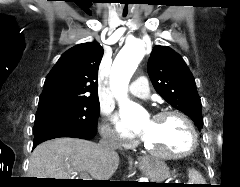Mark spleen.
Masks as SVG:
<instances>
[{"label":"spleen","instance_id":"spleen-1","mask_svg":"<svg viewBox=\"0 0 240 187\" xmlns=\"http://www.w3.org/2000/svg\"><path fill=\"white\" fill-rule=\"evenodd\" d=\"M189 181L191 184H205V180L195 169H189Z\"/></svg>","mask_w":240,"mask_h":187}]
</instances>
